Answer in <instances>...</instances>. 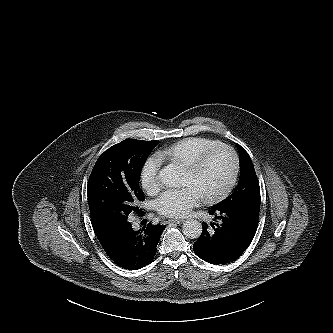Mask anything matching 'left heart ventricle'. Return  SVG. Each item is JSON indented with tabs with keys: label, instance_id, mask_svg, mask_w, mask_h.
<instances>
[{
	"label": "left heart ventricle",
	"instance_id": "b2bd125f",
	"mask_svg": "<svg viewBox=\"0 0 333 333\" xmlns=\"http://www.w3.org/2000/svg\"><path fill=\"white\" fill-rule=\"evenodd\" d=\"M234 169V158L227 149L214 152L196 173L183 170L181 182L194 187L205 198L219 191L229 180Z\"/></svg>",
	"mask_w": 333,
	"mask_h": 333
}]
</instances>
